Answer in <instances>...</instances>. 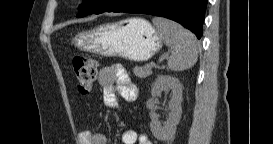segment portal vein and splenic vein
Returning <instances> with one entry per match:
<instances>
[{"label": "portal vein and splenic vein", "instance_id": "portal-vein-and-splenic-vein-1", "mask_svg": "<svg viewBox=\"0 0 273 144\" xmlns=\"http://www.w3.org/2000/svg\"><path fill=\"white\" fill-rule=\"evenodd\" d=\"M146 68H152V64H147Z\"/></svg>", "mask_w": 273, "mask_h": 144}]
</instances>
